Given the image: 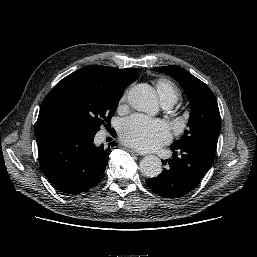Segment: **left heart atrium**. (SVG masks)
I'll use <instances>...</instances> for the list:
<instances>
[{
  "mask_svg": "<svg viewBox=\"0 0 257 257\" xmlns=\"http://www.w3.org/2000/svg\"><path fill=\"white\" fill-rule=\"evenodd\" d=\"M120 138L127 146L147 152L168 143L171 135L165 122L134 114L122 121Z\"/></svg>",
  "mask_w": 257,
  "mask_h": 257,
  "instance_id": "39dd6f15",
  "label": "left heart atrium"
}]
</instances>
